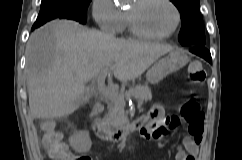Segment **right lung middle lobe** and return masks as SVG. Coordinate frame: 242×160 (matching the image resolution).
I'll return each instance as SVG.
<instances>
[{
  "label": "right lung middle lobe",
  "instance_id": "obj_1",
  "mask_svg": "<svg viewBox=\"0 0 242 160\" xmlns=\"http://www.w3.org/2000/svg\"><path fill=\"white\" fill-rule=\"evenodd\" d=\"M90 2L91 0H42L39 15L32 28H38L55 18L72 19L85 24Z\"/></svg>",
  "mask_w": 242,
  "mask_h": 160
}]
</instances>
